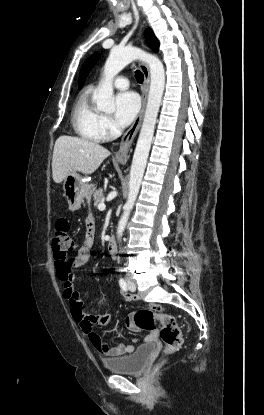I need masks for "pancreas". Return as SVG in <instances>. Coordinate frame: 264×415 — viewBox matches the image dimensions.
Wrapping results in <instances>:
<instances>
[{
    "label": "pancreas",
    "instance_id": "pancreas-1",
    "mask_svg": "<svg viewBox=\"0 0 264 415\" xmlns=\"http://www.w3.org/2000/svg\"><path fill=\"white\" fill-rule=\"evenodd\" d=\"M103 190L98 189L93 195L94 206H98L100 203L104 201Z\"/></svg>",
    "mask_w": 264,
    "mask_h": 415
}]
</instances>
